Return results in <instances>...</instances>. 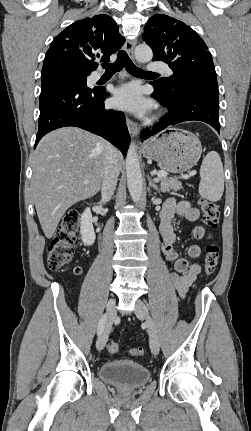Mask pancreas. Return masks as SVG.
<instances>
[{
  "instance_id": "cf45deb5",
  "label": "pancreas",
  "mask_w": 251,
  "mask_h": 431,
  "mask_svg": "<svg viewBox=\"0 0 251 431\" xmlns=\"http://www.w3.org/2000/svg\"><path fill=\"white\" fill-rule=\"evenodd\" d=\"M160 189L162 192H169L170 190L178 191L182 189V184L176 178L163 176L159 178Z\"/></svg>"
}]
</instances>
